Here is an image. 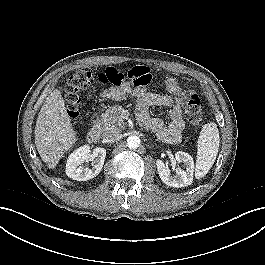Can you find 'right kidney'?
<instances>
[{
  "label": "right kidney",
  "instance_id": "1",
  "mask_svg": "<svg viewBox=\"0 0 265 265\" xmlns=\"http://www.w3.org/2000/svg\"><path fill=\"white\" fill-rule=\"evenodd\" d=\"M90 147L84 145L72 152L67 160L65 172L69 178L87 181L97 176L103 168L106 149L97 147L90 153ZM91 161L92 168H84V162Z\"/></svg>",
  "mask_w": 265,
  "mask_h": 265
}]
</instances>
